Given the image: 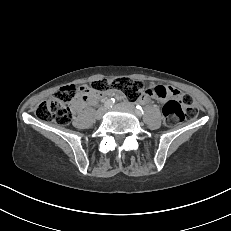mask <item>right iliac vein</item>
<instances>
[{
	"label": "right iliac vein",
	"instance_id": "63e3f726",
	"mask_svg": "<svg viewBox=\"0 0 231 231\" xmlns=\"http://www.w3.org/2000/svg\"><path fill=\"white\" fill-rule=\"evenodd\" d=\"M105 112H106L105 108H99L96 112V118L101 119L104 116Z\"/></svg>",
	"mask_w": 231,
	"mask_h": 231
}]
</instances>
